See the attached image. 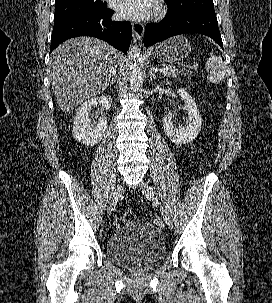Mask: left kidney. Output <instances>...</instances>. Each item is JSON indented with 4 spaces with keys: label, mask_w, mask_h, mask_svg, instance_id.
I'll use <instances>...</instances> for the list:
<instances>
[{
    "label": "left kidney",
    "mask_w": 272,
    "mask_h": 303,
    "mask_svg": "<svg viewBox=\"0 0 272 303\" xmlns=\"http://www.w3.org/2000/svg\"><path fill=\"white\" fill-rule=\"evenodd\" d=\"M178 93L184 101V109L188 112L186 126L177 127L174 124L172 117L167 114L163 118V128L166 136L173 143L182 145L190 143L198 136L201 130L202 120L195 101L192 99L189 93L183 88L178 89Z\"/></svg>",
    "instance_id": "left-kidney-1"
}]
</instances>
